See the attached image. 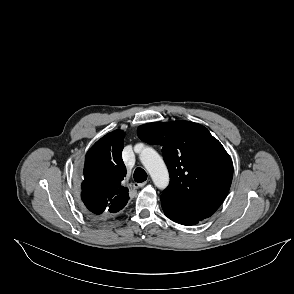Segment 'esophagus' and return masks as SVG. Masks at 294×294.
I'll use <instances>...</instances> for the list:
<instances>
[{"instance_id": "esophagus-1", "label": "esophagus", "mask_w": 294, "mask_h": 294, "mask_svg": "<svg viewBox=\"0 0 294 294\" xmlns=\"http://www.w3.org/2000/svg\"><path fill=\"white\" fill-rule=\"evenodd\" d=\"M146 184H147V182L133 183V188L138 189V188H141V187L145 186Z\"/></svg>"}]
</instances>
